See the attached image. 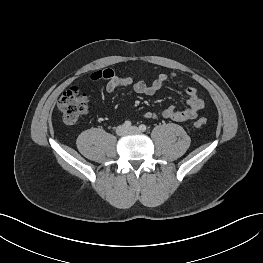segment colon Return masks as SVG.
<instances>
[{"label": "colon", "instance_id": "obj_1", "mask_svg": "<svg viewBox=\"0 0 263 263\" xmlns=\"http://www.w3.org/2000/svg\"><path fill=\"white\" fill-rule=\"evenodd\" d=\"M89 100L87 95L77 87L65 91L58 102V109L62 114L65 123L73 125L79 122L88 109ZM206 124L204 119L195 123L196 127Z\"/></svg>", "mask_w": 263, "mask_h": 263}]
</instances>
